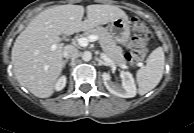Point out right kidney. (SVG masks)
<instances>
[{"label":"right kidney","mask_w":194,"mask_h":133,"mask_svg":"<svg viewBox=\"0 0 194 133\" xmlns=\"http://www.w3.org/2000/svg\"><path fill=\"white\" fill-rule=\"evenodd\" d=\"M65 85H66V76H61V77L57 80V82H56V84H55V89H56V91L62 90V89L65 87Z\"/></svg>","instance_id":"obj_1"}]
</instances>
